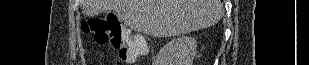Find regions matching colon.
Wrapping results in <instances>:
<instances>
[{
	"instance_id": "5ec220e1",
	"label": "colon",
	"mask_w": 309,
	"mask_h": 65,
	"mask_svg": "<svg viewBox=\"0 0 309 65\" xmlns=\"http://www.w3.org/2000/svg\"><path fill=\"white\" fill-rule=\"evenodd\" d=\"M82 30L97 44H111L124 62H133L146 51V43L121 26L112 16H95L82 21Z\"/></svg>"
}]
</instances>
